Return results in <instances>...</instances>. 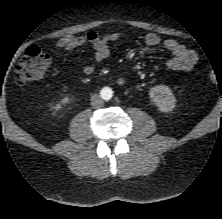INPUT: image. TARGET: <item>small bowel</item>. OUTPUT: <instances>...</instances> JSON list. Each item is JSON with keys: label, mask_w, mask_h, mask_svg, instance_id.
Wrapping results in <instances>:
<instances>
[{"label": "small bowel", "mask_w": 222, "mask_h": 219, "mask_svg": "<svg viewBox=\"0 0 222 219\" xmlns=\"http://www.w3.org/2000/svg\"><path fill=\"white\" fill-rule=\"evenodd\" d=\"M120 34L113 32L100 35L95 31H89L83 36H65L56 42L57 49L72 50L77 47L90 45L94 51V57L97 62H102L110 56V44L119 41ZM145 43L149 47H157L161 44L160 37L155 33H148L145 36ZM163 47L172 55L166 61V67L174 71H190L197 62V54L180 44L174 39H166ZM93 65H85L82 69L85 75L94 73ZM118 84L123 85L125 80L119 78Z\"/></svg>", "instance_id": "obj_1"}]
</instances>
